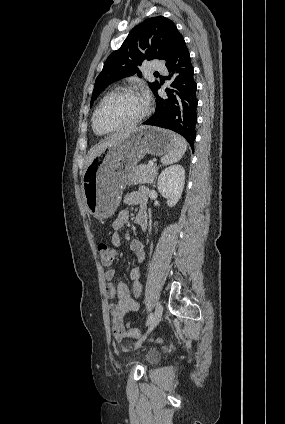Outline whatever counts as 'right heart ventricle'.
<instances>
[{
  "mask_svg": "<svg viewBox=\"0 0 285 424\" xmlns=\"http://www.w3.org/2000/svg\"><path fill=\"white\" fill-rule=\"evenodd\" d=\"M111 92H109V93H107L105 96H104V98L108 95V94H110ZM97 135H101V134H98L97 132H95Z\"/></svg>",
  "mask_w": 285,
  "mask_h": 424,
  "instance_id": "1",
  "label": "right heart ventricle"
}]
</instances>
